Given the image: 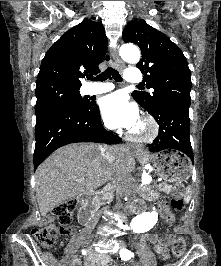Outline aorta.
I'll list each match as a JSON object with an SVG mask.
<instances>
[{"instance_id": "obj_1", "label": "aorta", "mask_w": 221, "mask_h": 266, "mask_svg": "<svg viewBox=\"0 0 221 266\" xmlns=\"http://www.w3.org/2000/svg\"><path fill=\"white\" fill-rule=\"evenodd\" d=\"M120 56L126 62L136 64L140 60V51L134 45L125 44L120 48ZM147 168H150V166L148 165ZM151 181L152 177L144 172L142 174V185L150 184ZM156 219L157 214L155 212L141 213L133 218L130 224V229L135 233L147 231L154 225Z\"/></svg>"}]
</instances>
